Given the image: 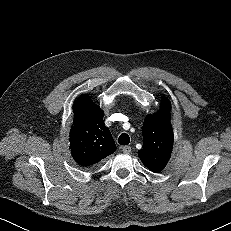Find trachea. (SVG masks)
<instances>
[{
	"mask_svg": "<svg viewBox=\"0 0 231 231\" xmlns=\"http://www.w3.org/2000/svg\"><path fill=\"white\" fill-rule=\"evenodd\" d=\"M118 143L120 145H128L130 143V137L126 133H122L118 138Z\"/></svg>",
	"mask_w": 231,
	"mask_h": 231,
	"instance_id": "1",
	"label": "trachea"
}]
</instances>
